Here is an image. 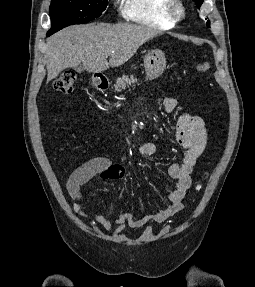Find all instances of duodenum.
Wrapping results in <instances>:
<instances>
[{"label":"duodenum","mask_w":255,"mask_h":287,"mask_svg":"<svg viewBox=\"0 0 255 287\" xmlns=\"http://www.w3.org/2000/svg\"><path fill=\"white\" fill-rule=\"evenodd\" d=\"M95 86L98 90H106L109 87V83L105 79L98 78L95 80Z\"/></svg>","instance_id":"410a0bca"}]
</instances>
